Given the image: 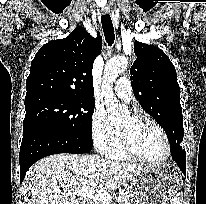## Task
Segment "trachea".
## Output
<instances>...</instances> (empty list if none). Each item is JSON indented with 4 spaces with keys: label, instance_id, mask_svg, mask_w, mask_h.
<instances>
[{
    "label": "trachea",
    "instance_id": "obj_1",
    "mask_svg": "<svg viewBox=\"0 0 206 204\" xmlns=\"http://www.w3.org/2000/svg\"><path fill=\"white\" fill-rule=\"evenodd\" d=\"M101 23H102L105 39L108 45L111 46L114 43L115 34H114V27L110 15L109 14L102 15Z\"/></svg>",
    "mask_w": 206,
    "mask_h": 204
}]
</instances>
